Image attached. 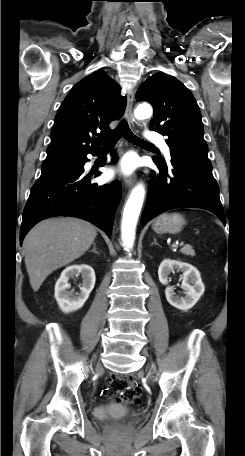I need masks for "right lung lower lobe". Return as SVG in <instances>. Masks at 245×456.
<instances>
[{"instance_id":"right-lung-lower-lobe-1","label":"right lung lower lobe","mask_w":245,"mask_h":456,"mask_svg":"<svg viewBox=\"0 0 245 456\" xmlns=\"http://www.w3.org/2000/svg\"><path fill=\"white\" fill-rule=\"evenodd\" d=\"M91 154L97 155V151ZM112 155L116 160L115 153ZM87 161L86 156L71 169L41 174L24 208L20 243L37 222L59 215L87 220L111 236L122 186L117 180L103 186L91 184V179L83 175Z\"/></svg>"}]
</instances>
